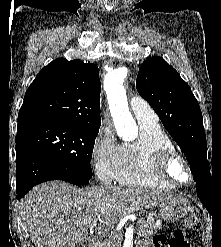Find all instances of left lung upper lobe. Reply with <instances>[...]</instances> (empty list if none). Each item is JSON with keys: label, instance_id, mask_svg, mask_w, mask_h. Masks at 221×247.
Masks as SVG:
<instances>
[{"label": "left lung upper lobe", "instance_id": "5c2ea615", "mask_svg": "<svg viewBox=\"0 0 221 247\" xmlns=\"http://www.w3.org/2000/svg\"><path fill=\"white\" fill-rule=\"evenodd\" d=\"M136 88L185 154L197 187H212L202 113L188 84L156 56L141 64Z\"/></svg>", "mask_w": 221, "mask_h": 247}]
</instances>
